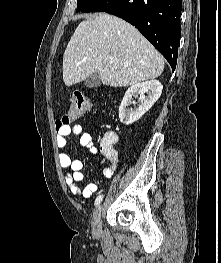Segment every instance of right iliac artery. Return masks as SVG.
Wrapping results in <instances>:
<instances>
[{
    "instance_id": "right-iliac-artery-1",
    "label": "right iliac artery",
    "mask_w": 221,
    "mask_h": 263,
    "mask_svg": "<svg viewBox=\"0 0 221 263\" xmlns=\"http://www.w3.org/2000/svg\"><path fill=\"white\" fill-rule=\"evenodd\" d=\"M102 199H103V195H99V196L96 198V200H95V205H96V206L99 205L100 202L102 201Z\"/></svg>"
}]
</instances>
